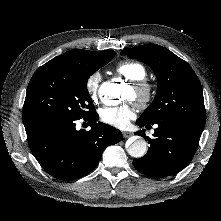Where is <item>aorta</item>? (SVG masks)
I'll return each mask as SVG.
<instances>
[{"label":"aorta","instance_id":"obj_1","mask_svg":"<svg viewBox=\"0 0 221 221\" xmlns=\"http://www.w3.org/2000/svg\"><path fill=\"white\" fill-rule=\"evenodd\" d=\"M122 86L116 83L105 82L100 87V93L111 99L119 98ZM127 152L130 156L135 158L143 157L147 152V143L141 137H136L127 147Z\"/></svg>","mask_w":221,"mask_h":221}]
</instances>
